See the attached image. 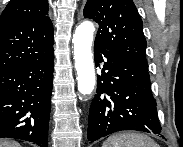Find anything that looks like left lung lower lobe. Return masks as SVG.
Segmentation results:
<instances>
[{
    "label": "left lung lower lobe",
    "instance_id": "obj_1",
    "mask_svg": "<svg viewBox=\"0 0 183 147\" xmlns=\"http://www.w3.org/2000/svg\"><path fill=\"white\" fill-rule=\"evenodd\" d=\"M94 56L96 66L103 65L89 110L88 140L123 130L160 134L148 67L96 43Z\"/></svg>",
    "mask_w": 183,
    "mask_h": 147
}]
</instances>
